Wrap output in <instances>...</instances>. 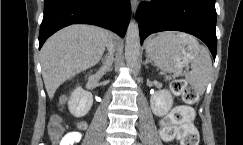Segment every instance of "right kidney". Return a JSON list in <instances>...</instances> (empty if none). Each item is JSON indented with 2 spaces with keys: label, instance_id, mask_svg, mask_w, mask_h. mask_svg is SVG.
<instances>
[{
  "label": "right kidney",
  "instance_id": "ca27d5eb",
  "mask_svg": "<svg viewBox=\"0 0 243 145\" xmlns=\"http://www.w3.org/2000/svg\"><path fill=\"white\" fill-rule=\"evenodd\" d=\"M92 103L93 97L91 93L84 91L81 87H76L69 98L68 108L73 116L79 118L89 112Z\"/></svg>",
  "mask_w": 243,
  "mask_h": 145
}]
</instances>
